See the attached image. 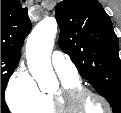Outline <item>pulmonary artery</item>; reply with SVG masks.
I'll list each match as a JSON object with an SVG mask.
<instances>
[{"instance_id":"1","label":"pulmonary artery","mask_w":121,"mask_h":113,"mask_svg":"<svg viewBox=\"0 0 121 113\" xmlns=\"http://www.w3.org/2000/svg\"><path fill=\"white\" fill-rule=\"evenodd\" d=\"M51 63L55 72L61 77H77L78 71L72 61H70L62 51H54L51 56Z\"/></svg>"}]
</instances>
